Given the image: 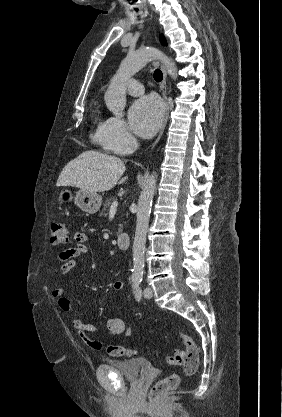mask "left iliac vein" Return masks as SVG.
I'll return each instance as SVG.
<instances>
[{"mask_svg":"<svg viewBox=\"0 0 282 417\" xmlns=\"http://www.w3.org/2000/svg\"><path fill=\"white\" fill-rule=\"evenodd\" d=\"M143 294H144V296L146 298H152V296H153V290L150 287H147V288L144 289V293Z\"/></svg>","mask_w":282,"mask_h":417,"instance_id":"1","label":"left iliac vein"}]
</instances>
